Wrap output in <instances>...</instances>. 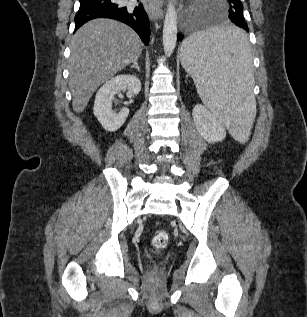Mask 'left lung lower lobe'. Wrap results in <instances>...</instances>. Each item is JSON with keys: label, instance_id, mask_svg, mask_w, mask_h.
<instances>
[{"label": "left lung lower lobe", "instance_id": "left-lung-lower-lobe-1", "mask_svg": "<svg viewBox=\"0 0 307 317\" xmlns=\"http://www.w3.org/2000/svg\"><path fill=\"white\" fill-rule=\"evenodd\" d=\"M231 22L235 25H237L238 27L242 28L241 30V34L239 36H235V37H226L223 40V45L228 48L229 50H233V51H237L239 49H241L244 44L247 42V36L245 31H249L248 30V26L246 23L241 22L239 19H237L236 17H234L233 19H231ZM179 40L181 41L183 38L182 34H178Z\"/></svg>", "mask_w": 307, "mask_h": 317}]
</instances>
